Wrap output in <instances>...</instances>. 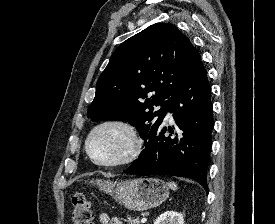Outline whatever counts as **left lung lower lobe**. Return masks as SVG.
<instances>
[{"label": "left lung lower lobe", "instance_id": "1", "mask_svg": "<svg viewBox=\"0 0 275 224\" xmlns=\"http://www.w3.org/2000/svg\"><path fill=\"white\" fill-rule=\"evenodd\" d=\"M210 92L207 72L202 66L168 101L165 114L169 111L175 120V131L169 127L173 135L164 136L167 128L161 123L125 172L192 178L208 192L206 174L214 125Z\"/></svg>", "mask_w": 275, "mask_h": 224}]
</instances>
